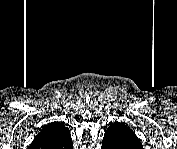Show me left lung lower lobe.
<instances>
[{
    "mask_svg": "<svg viewBox=\"0 0 177 149\" xmlns=\"http://www.w3.org/2000/svg\"><path fill=\"white\" fill-rule=\"evenodd\" d=\"M115 142L114 140H111V139H105V141L102 143V148H115V147H118V145H115Z\"/></svg>",
    "mask_w": 177,
    "mask_h": 149,
    "instance_id": "obj_1",
    "label": "left lung lower lobe"
}]
</instances>
